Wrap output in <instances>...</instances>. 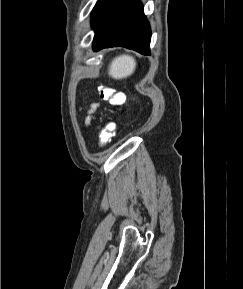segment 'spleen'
<instances>
[{"mask_svg": "<svg viewBox=\"0 0 243 289\" xmlns=\"http://www.w3.org/2000/svg\"><path fill=\"white\" fill-rule=\"evenodd\" d=\"M136 68L134 57L121 55L116 57L110 64L108 74L114 79H123L132 75Z\"/></svg>", "mask_w": 243, "mask_h": 289, "instance_id": "spleen-1", "label": "spleen"}]
</instances>
